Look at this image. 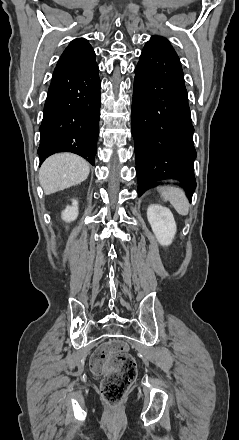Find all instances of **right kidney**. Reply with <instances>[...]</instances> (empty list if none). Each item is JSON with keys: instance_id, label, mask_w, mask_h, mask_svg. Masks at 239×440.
<instances>
[{"instance_id": "ca27d5eb", "label": "right kidney", "mask_w": 239, "mask_h": 440, "mask_svg": "<svg viewBox=\"0 0 239 440\" xmlns=\"http://www.w3.org/2000/svg\"><path fill=\"white\" fill-rule=\"evenodd\" d=\"M72 202V206H67L66 210L62 212L61 218L64 222H73L78 216V202L77 200H72Z\"/></svg>"}]
</instances>
